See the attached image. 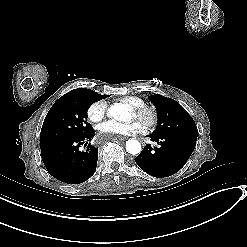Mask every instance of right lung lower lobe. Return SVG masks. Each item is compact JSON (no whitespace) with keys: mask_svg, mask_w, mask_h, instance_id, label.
Listing matches in <instances>:
<instances>
[{"mask_svg":"<svg viewBox=\"0 0 247 247\" xmlns=\"http://www.w3.org/2000/svg\"><path fill=\"white\" fill-rule=\"evenodd\" d=\"M94 133L92 129L77 138H63L41 144V157L48 173L68 184L88 180L96 170L98 148L89 144L87 150L81 152L79 146L85 141H91Z\"/></svg>","mask_w":247,"mask_h":247,"instance_id":"obj_1","label":"right lung lower lobe"}]
</instances>
